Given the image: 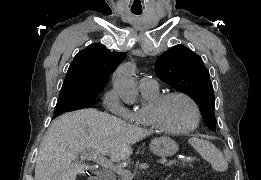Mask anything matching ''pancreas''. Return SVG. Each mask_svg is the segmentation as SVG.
<instances>
[{
	"instance_id": "cf45deb5",
	"label": "pancreas",
	"mask_w": 261,
	"mask_h": 180,
	"mask_svg": "<svg viewBox=\"0 0 261 180\" xmlns=\"http://www.w3.org/2000/svg\"><path fill=\"white\" fill-rule=\"evenodd\" d=\"M194 163L191 162V159H183V164L178 165V170H186L187 167H193ZM129 169H132V166H129ZM116 175V180H121V174L120 173H115Z\"/></svg>"
}]
</instances>
